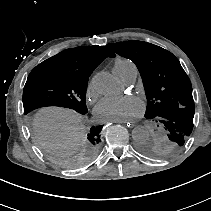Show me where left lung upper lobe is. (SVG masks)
<instances>
[{
	"mask_svg": "<svg viewBox=\"0 0 211 211\" xmlns=\"http://www.w3.org/2000/svg\"><path fill=\"white\" fill-rule=\"evenodd\" d=\"M107 48L132 60L143 80L145 118L158 132L141 141L139 150L151 158L177 154L189 139L195 112L192 85L179 60L169 51L142 41L118 42Z\"/></svg>",
	"mask_w": 211,
	"mask_h": 211,
	"instance_id": "1",
	"label": "left lung upper lobe"
}]
</instances>
